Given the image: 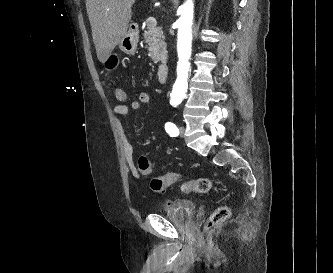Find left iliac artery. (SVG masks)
<instances>
[{
  "instance_id": "left-iliac-artery-1",
  "label": "left iliac artery",
  "mask_w": 333,
  "mask_h": 273,
  "mask_svg": "<svg viewBox=\"0 0 333 273\" xmlns=\"http://www.w3.org/2000/svg\"><path fill=\"white\" fill-rule=\"evenodd\" d=\"M165 130L171 137H176L179 135V129L172 122H167L165 124Z\"/></svg>"
}]
</instances>
